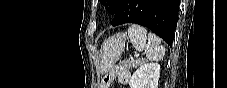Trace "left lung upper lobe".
I'll use <instances>...</instances> for the list:
<instances>
[{
    "label": "left lung upper lobe",
    "instance_id": "5c2ea615",
    "mask_svg": "<svg viewBox=\"0 0 227 88\" xmlns=\"http://www.w3.org/2000/svg\"><path fill=\"white\" fill-rule=\"evenodd\" d=\"M120 1L121 0H100V3L106 8L109 13L114 14L116 7Z\"/></svg>",
    "mask_w": 227,
    "mask_h": 88
}]
</instances>
